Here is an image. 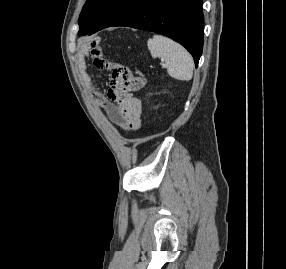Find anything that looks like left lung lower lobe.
Listing matches in <instances>:
<instances>
[{
	"mask_svg": "<svg viewBox=\"0 0 286 269\" xmlns=\"http://www.w3.org/2000/svg\"><path fill=\"white\" fill-rule=\"evenodd\" d=\"M202 0H143L115 23L163 34L183 45L197 67L203 48Z\"/></svg>",
	"mask_w": 286,
	"mask_h": 269,
	"instance_id": "obj_1",
	"label": "left lung lower lobe"
}]
</instances>
